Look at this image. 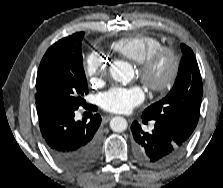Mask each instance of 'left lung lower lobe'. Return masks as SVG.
<instances>
[{
    "instance_id": "left-lung-lower-lobe-1",
    "label": "left lung lower lobe",
    "mask_w": 223,
    "mask_h": 188,
    "mask_svg": "<svg viewBox=\"0 0 223 188\" xmlns=\"http://www.w3.org/2000/svg\"><path fill=\"white\" fill-rule=\"evenodd\" d=\"M145 119V118H144ZM134 156L148 167H165L172 164L184 151L187 140L159 122L152 132H144L138 122H133Z\"/></svg>"
}]
</instances>
